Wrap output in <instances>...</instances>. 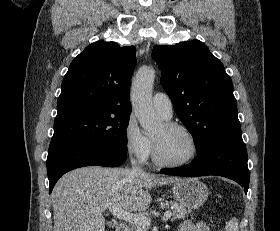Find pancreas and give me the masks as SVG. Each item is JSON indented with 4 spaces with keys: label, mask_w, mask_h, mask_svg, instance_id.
Wrapping results in <instances>:
<instances>
[{
    "label": "pancreas",
    "mask_w": 280,
    "mask_h": 231,
    "mask_svg": "<svg viewBox=\"0 0 280 231\" xmlns=\"http://www.w3.org/2000/svg\"><path fill=\"white\" fill-rule=\"evenodd\" d=\"M160 205L161 207H169V205H172L174 219H176V217H178V219L179 217H185V215H187V213L190 211V209H185L184 205H180V203H177V201H161ZM129 231H148V227H143V225H138V223H135V225L129 227Z\"/></svg>",
    "instance_id": "obj_1"
}]
</instances>
